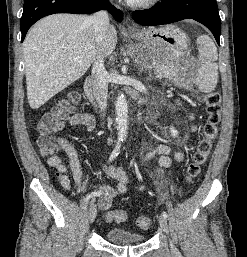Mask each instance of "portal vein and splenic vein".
<instances>
[{
	"label": "portal vein and splenic vein",
	"mask_w": 247,
	"mask_h": 257,
	"mask_svg": "<svg viewBox=\"0 0 247 257\" xmlns=\"http://www.w3.org/2000/svg\"><path fill=\"white\" fill-rule=\"evenodd\" d=\"M74 61H81V58L80 57L75 58Z\"/></svg>",
	"instance_id": "portal-vein-and-splenic-vein-1"
}]
</instances>
